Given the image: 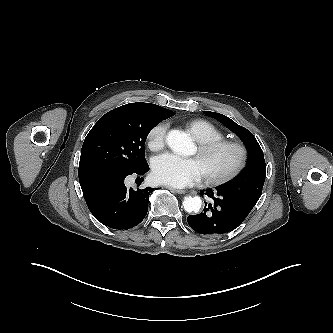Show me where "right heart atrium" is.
<instances>
[{"label": "right heart atrium", "mask_w": 333, "mask_h": 333, "mask_svg": "<svg viewBox=\"0 0 333 333\" xmlns=\"http://www.w3.org/2000/svg\"><path fill=\"white\" fill-rule=\"evenodd\" d=\"M167 124L157 123L148 132L147 143L152 151L160 150L165 144Z\"/></svg>", "instance_id": "obj_1"}]
</instances>
